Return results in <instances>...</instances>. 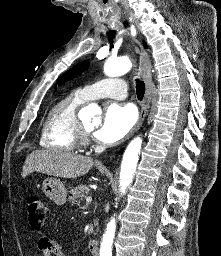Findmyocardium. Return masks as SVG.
<instances>
[{
	"label": "myocardium",
	"mask_w": 221,
	"mask_h": 256,
	"mask_svg": "<svg viewBox=\"0 0 221 256\" xmlns=\"http://www.w3.org/2000/svg\"><path fill=\"white\" fill-rule=\"evenodd\" d=\"M89 130L82 124L80 125V139L83 143L87 142Z\"/></svg>",
	"instance_id": "1"
}]
</instances>
